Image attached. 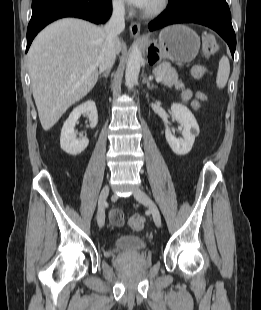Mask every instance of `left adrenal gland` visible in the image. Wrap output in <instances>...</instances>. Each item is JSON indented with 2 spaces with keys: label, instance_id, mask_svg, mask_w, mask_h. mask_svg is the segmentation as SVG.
<instances>
[{
  "label": "left adrenal gland",
  "instance_id": "left-adrenal-gland-1",
  "mask_svg": "<svg viewBox=\"0 0 261 310\" xmlns=\"http://www.w3.org/2000/svg\"><path fill=\"white\" fill-rule=\"evenodd\" d=\"M146 84H147V88L150 89V90H153V89L157 88L156 85H150V81L148 79L146 80Z\"/></svg>",
  "mask_w": 261,
  "mask_h": 310
}]
</instances>
